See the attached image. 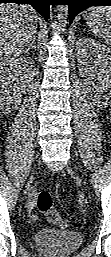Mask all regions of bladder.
Returning a JSON list of instances; mask_svg holds the SVG:
<instances>
[{"label": "bladder", "instance_id": "obj_1", "mask_svg": "<svg viewBox=\"0 0 111 257\" xmlns=\"http://www.w3.org/2000/svg\"><path fill=\"white\" fill-rule=\"evenodd\" d=\"M82 242V234L69 230L40 231L33 238L34 246L46 257L70 255L82 245Z\"/></svg>", "mask_w": 111, "mask_h": 257}]
</instances>
